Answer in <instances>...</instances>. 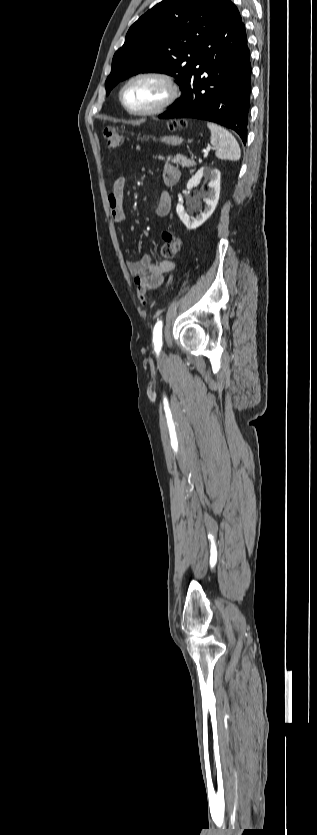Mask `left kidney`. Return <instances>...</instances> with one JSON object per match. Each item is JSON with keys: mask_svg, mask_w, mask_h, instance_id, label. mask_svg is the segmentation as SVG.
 <instances>
[{"mask_svg": "<svg viewBox=\"0 0 317 835\" xmlns=\"http://www.w3.org/2000/svg\"><path fill=\"white\" fill-rule=\"evenodd\" d=\"M220 171L216 168L202 167L196 172L194 176L188 181L186 188L191 190L196 187L204 178L209 181V190L204 193L203 201L205 203L204 211H200L196 217H190L183 206V201L179 202L176 207L177 214L187 229H196L201 226L214 212L220 195ZM195 209H200L197 204Z\"/></svg>", "mask_w": 317, "mask_h": 835, "instance_id": "1", "label": "left kidney"}]
</instances>
